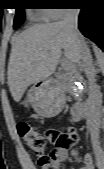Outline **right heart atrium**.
Here are the masks:
<instances>
[{"instance_id":"obj_1","label":"right heart atrium","mask_w":104,"mask_h":169,"mask_svg":"<svg viewBox=\"0 0 104 169\" xmlns=\"http://www.w3.org/2000/svg\"><path fill=\"white\" fill-rule=\"evenodd\" d=\"M49 14L47 18L50 20H60L65 18L67 15L73 12L74 9H64V8H52L47 9Z\"/></svg>"}]
</instances>
